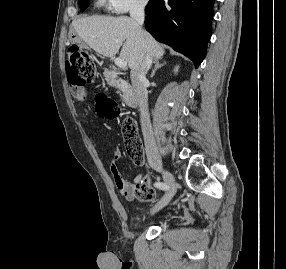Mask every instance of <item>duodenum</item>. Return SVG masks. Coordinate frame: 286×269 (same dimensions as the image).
<instances>
[{
	"mask_svg": "<svg viewBox=\"0 0 286 269\" xmlns=\"http://www.w3.org/2000/svg\"><path fill=\"white\" fill-rule=\"evenodd\" d=\"M122 100L128 108H136L138 106L136 94L128 82L123 83Z\"/></svg>",
	"mask_w": 286,
	"mask_h": 269,
	"instance_id": "1",
	"label": "duodenum"
}]
</instances>
